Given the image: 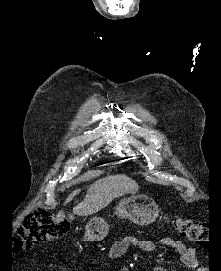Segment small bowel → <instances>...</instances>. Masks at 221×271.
<instances>
[{"label": "small bowel", "mask_w": 221, "mask_h": 271, "mask_svg": "<svg viewBox=\"0 0 221 271\" xmlns=\"http://www.w3.org/2000/svg\"><path fill=\"white\" fill-rule=\"evenodd\" d=\"M161 242L178 253L182 263L186 267L195 268L197 266L196 251L194 248L187 247L181 240L168 237L163 238ZM130 246L137 247L138 249L148 253L156 250V244L152 240L126 236L113 243L109 250V257L111 259L120 258ZM119 271H127V269L122 268ZM154 271H168V269L163 266H156Z\"/></svg>", "instance_id": "small-bowel-1"}]
</instances>
